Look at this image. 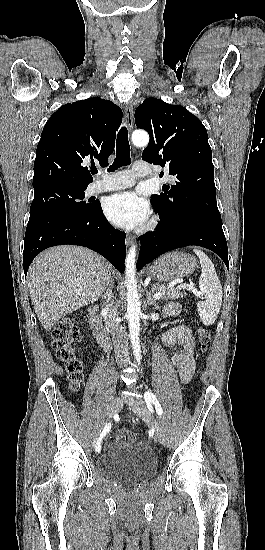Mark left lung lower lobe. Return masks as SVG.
Listing matches in <instances>:
<instances>
[{
  "mask_svg": "<svg viewBox=\"0 0 265 550\" xmlns=\"http://www.w3.org/2000/svg\"><path fill=\"white\" fill-rule=\"evenodd\" d=\"M139 239L141 248L137 261L138 270L167 251L189 245L212 250L229 269L228 248L221 221L204 215L184 213L171 219H160L155 231Z\"/></svg>",
  "mask_w": 265,
  "mask_h": 550,
  "instance_id": "1",
  "label": "left lung lower lobe"
}]
</instances>
